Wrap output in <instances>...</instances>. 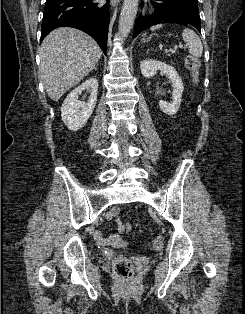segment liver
<instances>
[{
  "instance_id": "1",
  "label": "liver",
  "mask_w": 245,
  "mask_h": 314,
  "mask_svg": "<svg viewBox=\"0 0 245 314\" xmlns=\"http://www.w3.org/2000/svg\"><path fill=\"white\" fill-rule=\"evenodd\" d=\"M102 50L88 34L74 28L53 30L40 47L39 76L51 100H59L97 65Z\"/></svg>"
}]
</instances>
